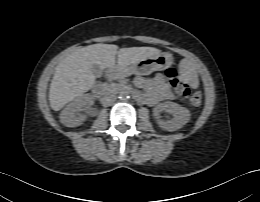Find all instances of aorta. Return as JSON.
<instances>
[{
    "label": "aorta",
    "instance_id": "1",
    "mask_svg": "<svg viewBox=\"0 0 260 202\" xmlns=\"http://www.w3.org/2000/svg\"><path fill=\"white\" fill-rule=\"evenodd\" d=\"M119 98L121 100H126L127 98H129V93L127 91H122L119 93Z\"/></svg>",
    "mask_w": 260,
    "mask_h": 202
}]
</instances>
